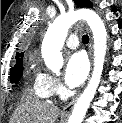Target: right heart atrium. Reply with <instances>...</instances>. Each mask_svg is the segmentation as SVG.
I'll return each instance as SVG.
<instances>
[{"instance_id":"1","label":"right heart atrium","mask_w":122,"mask_h":123,"mask_svg":"<svg viewBox=\"0 0 122 123\" xmlns=\"http://www.w3.org/2000/svg\"><path fill=\"white\" fill-rule=\"evenodd\" d=\"M41 80L49 95H61L64 91L63 85L58 78L48 73H40Z\"/></svg>"}]
</instances>
